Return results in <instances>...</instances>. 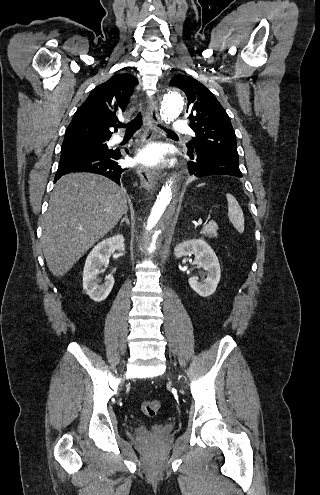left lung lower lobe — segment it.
Returning a JSON list of instances; mask_svg holds the SVG:
<instances>
[{
    "instance_id": "0a47b994",
    "label": "left lung lower lobe",
    "mask_w": 320,
    "mask_h": 495,
    "mask_svg": "<svg viewBox=\"0 0 320 495\" xmlns=\"http://www.w3.org/2000/svg\"><path fill=\"white\" fill-rule=\"evenodd\" d=\"M188 155L191 159L189 161L190 175L196 177L210 175H230L238 178L242 177L239 164L226 162L199 149L196 151H189Z\"/></svg>"
}]
</instances>
